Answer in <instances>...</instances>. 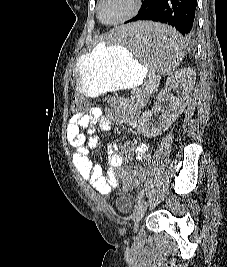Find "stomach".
Returning a JSON list of instances; mask_svg holds the SVG:
<instances>
[{
	"instance_id": "0dacf381",
	"label": "stomach",
	"mask_w": 227,
	"mask_h": 267,
	"mask_svg": "<svg viewBox=\"0 0 227 267\" xmlns=\"http://www.w3.org/2000/svg\"><path fill=\"white\" fill-rule=\"evenodd\" d=\"M120 43H112V47H99L91 53L80 56L73 73V92L88 97H95L107 91L134 87L145 75L146 66L152 69V63H141L133 55H122Z\"/></svg>"
}]
</instances>
